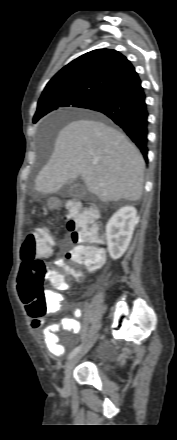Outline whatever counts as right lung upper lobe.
Listing matches in <instances>:
<instances>
[{"instance_id":"right-lung-upper-lobe-1","label":"right lung upper lobe","mask_w":177,"mask_h":440,"mask_svg":"<svg viewBox=\"0 0 177 440\" xmlns=\"http://www.w3.org/2000/svg\"><path fill=\"white\" fill-rule=\"evenodd\" d=\"M138 77L130 61L118 51L97 49L63 67L46 85L39 102L58 93H97L102 97Z\"/></svg>"}]
</instances>
